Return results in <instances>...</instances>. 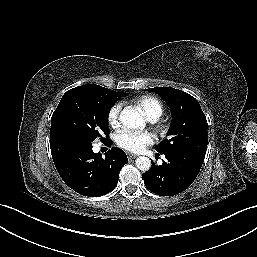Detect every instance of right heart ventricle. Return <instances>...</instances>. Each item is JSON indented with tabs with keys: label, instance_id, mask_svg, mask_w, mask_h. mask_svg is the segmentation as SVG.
I'll use <instances>...</instances> for the list:
<instances>
[{
	"label": "right heart ventricle",
	"instance_id": "e07e8e85",
	"mask_svg": "<svg viewBox=\"0 0 257 257\" xmlns=\"http://www.w3.org/2000/svg\"><path fill=\"white\" fill-rule=\"evenodd\" d=\"M133 102L150 121H156L164 110L162 101L155 95H143Z\"/></svg>",
	"mask_w": 257,
	"mask_h": 257
}]
</instances>
